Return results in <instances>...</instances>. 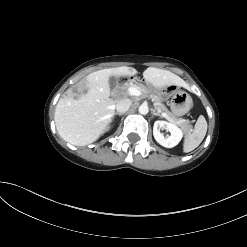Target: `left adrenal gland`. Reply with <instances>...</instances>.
<instances>
[{"label":"left adrenal gland","instance_id":"a2214340","mask_svg":"<svg viewBox=\"0 0 247 247\" xmlns=\"http://www.w3.org/2000/svg\"><path fill=\"white\" fill-rule=\"evenodd\" d=\"M152 114L154 116H160L162 118V115H160L159 113H157L154 109L152 110Z\"/></svg>","mask_w":247,"mask_h":247}]
</instances>
